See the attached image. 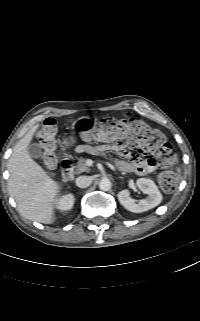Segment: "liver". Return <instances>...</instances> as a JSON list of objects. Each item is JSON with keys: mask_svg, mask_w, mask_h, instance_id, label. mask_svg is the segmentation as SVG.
Returning <instances> with one entry per match:
<instances>
[{"mask_svg": "<svg viewBox=\"0 0 200 321\" xmlns=\"http://www.w3.org/2000/svg\"><path fill=\"white\" fill-rule=\"evenodd\" d=\"M39 125L33 126L16 144L8 160V190L19 213L31 221L54 222V204L60 185L29 155L28 147Z\"/></svg>", "mask_w": 200, "mask_h": 321, "instance_id": "1", "label": "liver"}]
</instances>
